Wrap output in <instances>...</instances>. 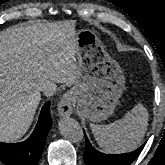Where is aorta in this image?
<instances>
[{
	"mask_svg": "<svg viewBox=\"0 0 165 165\" xmlns=\"http://www.w3.org/2000/svg\"><path fill=\"white\" fill-rule=\"evenodd\" d=\"M59 130L61 135L71 142L79 143L84 139V133L81 126L73 119L61 121Z\"/></svg>",
	"mask_w": 165,
	"mask_h": 165,
	"instance_id": "762f6f07",
	"label": "aorta"
}]
</instances>
